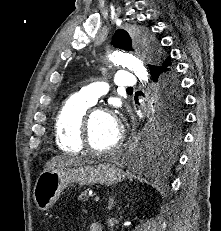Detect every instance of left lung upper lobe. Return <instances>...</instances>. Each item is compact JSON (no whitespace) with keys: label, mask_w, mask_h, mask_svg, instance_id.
Masks as SVG:
<instances>
[{"label":"left lung upper lobe","mask_w":221,"mask_h":231,"mask_svg":"<svg viewBox=\"0 0 221 231\" xmlns=\"http://www.w3.org/2000/svg\"><path fill=\"white\" fill-rule=\"evenodd\" d=\"M138 35V34H137ZM136 34L133 36L134 39L138 36ZM145 43L150 51L151 59H159L160 52L155 41L150 40L149 37L145 36ZM113 45L117 48L124 49L127 51H133L132 40L130 35L122 29L116 31L113 36ZM162 59V58H161ZM182 122V96L172 105V110L169 114L163 117H158L154 113L152 132H161L171 139L177 138L176 130L177 127Z\"/></svg>","instance_id":"1"}]
</instances>
